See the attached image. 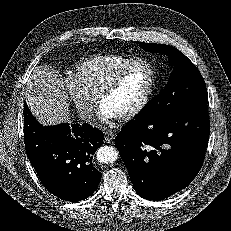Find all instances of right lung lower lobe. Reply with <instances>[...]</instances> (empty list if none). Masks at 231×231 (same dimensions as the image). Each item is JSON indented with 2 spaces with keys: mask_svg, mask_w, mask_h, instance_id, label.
<instances>
[{
  "mask_svg": "<svg viewBox=\"0 0 231 231\" xmlns=\"http://www.w3.org/2000/svg\"><path fill=\"white\" fill-rule=\"evenodd\" d=\"M26 153L42 184L65 201L86 199L97 189L101 173L93 166L103 132L90 124L42 126L24 103Z\"/></svg>",
  "mask_w": 231,
  "mask_h": 231,
  "instance_id": "obj_1",
  "label": "right lung lower lobe"
}]
</instances>
